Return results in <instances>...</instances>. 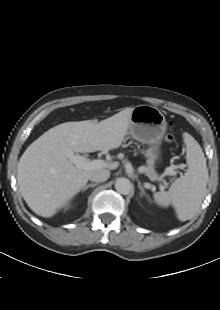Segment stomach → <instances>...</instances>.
<instances>
[{
    "label": "stomach",
    "instance_id": "1",
    "mask_svg": "<svg viewBox=\"0 0 220 310\" xmlns=\"http://www.w3.org/2000/svg\"><path fill=\"white\" fill-rule=\"evenodd\" d=\"M167 129L163 113L151 105H138L133 108L129 134L137 141L148 144L144 151L149 165L161 159V143Z\"/></svg>",
    "mask_w": 220,
    "mask_h": 310
}]
</instances>
